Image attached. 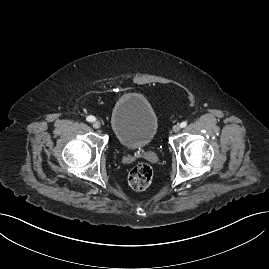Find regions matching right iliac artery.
<instances>
[{
	"mask_svg": "<svg viewBox=\"0 0 269 269\" xmlns=\"http://www.w3.org/2000/svg\"><path fill=\"white\" fill-rule=\"evenodd\" d=\"M86 120L87 121H89V122H92V121H95L96 120V118L94 117V116H88L87 118H86Z\"/></svg>",
	"mask_w": 269,
	"mask_h": 269,
	"instance_id": "right-iliac-artery-1",
	"label": "right iliac artery"
}]
</instances>
